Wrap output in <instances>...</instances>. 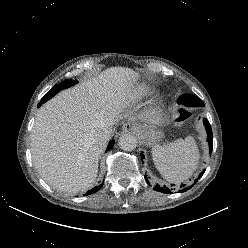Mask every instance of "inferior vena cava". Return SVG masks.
<instances>
[{"label": "inferior vena cava", "mask_w": 248, "mask_h": 248, "mask_svg": "<svg viewBox=\"0 0 248 248\" xmlns=\"http://www.w3.org/2000/svg\"><path fill=\"white\" fill-rule=\"evenodd\" d=\"M112 135V126L106 125L103 128L98 129L94 133V141L99 144H105Z\"/></svg>", "instance_id": "inferior-vena-cava-1"}]
</instances>
